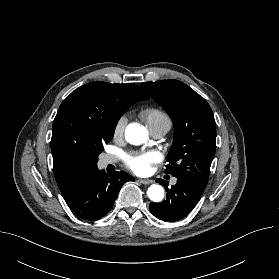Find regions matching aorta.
Wrapping results in <instances>:
<instances>
[{"mask_svg":"<svg viewBox=\"0 0 279 279\" xmlns=\"http://www.w3.org/2000/svg\"><path fill=\"white\" fill-rule=\"evenodd\" d=\"M126 140L133 145H140L147 141L148 132L140 124L132 123L126 127ZM147 195L153 202H160L164 198V188L161 185L153 184L147 190Z\"/></svg>","mask_w":279,"mask_h":279,"instance_id":"aorta-1","label":"aorta"}]
</instances>
